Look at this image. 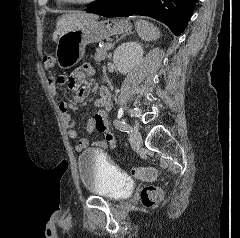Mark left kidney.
<instances>
[{
  "instance_id": "left-kidney-1",
  "label": "left kidney",
  "mask_w": 240,
  "mask_h": 238,
  "mask_svg": "<svg viewBox=\"0 0 240 238\" xmlns=\"http://www.w3.org/2000/svg\"><path fill=\"white\" fill-rule=\"evenodd\" d=\"M142 46L137 42H125L114 51L113 62L123 75L129 73L143 57Z\"/></svg>"
}]
</instances>
